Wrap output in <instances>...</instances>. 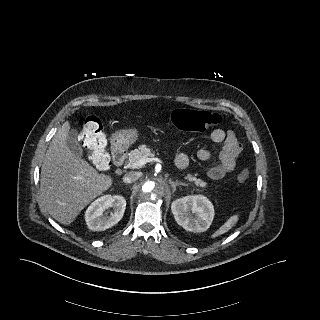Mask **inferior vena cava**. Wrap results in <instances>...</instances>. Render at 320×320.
Wrapping results in <instances>:
<instances>
[{
	"label": "inferior vena cava",
	"instance_id": "602c4592",
	"mask_svg": "<svg viewBox=\"0 0 320 320\" xmlns=\"http://www.w3.org/2000/svg\"><path fill=\"white\" fill-rule=\"evenodd\" d=\"M140 176H141V174L139 172L132 171V172H129L124 175L123 181L125 183H133V182L137 181Z\"/></svg>",
	"mask_w": 320,
	"mask_h": 320
}]
</instances>
